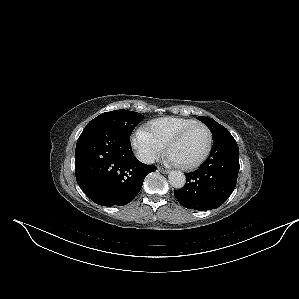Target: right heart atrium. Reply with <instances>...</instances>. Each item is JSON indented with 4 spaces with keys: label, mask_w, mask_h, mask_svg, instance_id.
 Here are the masks:
<instances>
[{
    "label": "right heart atrium",
    "mask_w": 299,
    "mask_h": 299,
    "mask_svg": "<svg viewBox=\"0 0 299 299\" xmlns=\"http://www.w3.org/2000/svg\"><path fill=\"white\" fill-rule=\"evenodd\" d=\"M130 142L138 157L145 163L153 162L163 151V145L145 128L136 130L131 135Z\"/></svg>",
    "instance_id": "right-heart-atrium-1"
}]
</instances>
